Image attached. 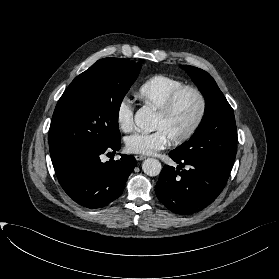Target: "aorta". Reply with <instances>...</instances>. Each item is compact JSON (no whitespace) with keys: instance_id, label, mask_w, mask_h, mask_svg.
Returning a JSON list of instances; mask_svg holds the SVG:
<instances>
[{"instance_id":"762f6f07","label":"aorta","mask_w":279,"mask_h":279,"mask_svg":"<svg viewBox=\"0 0 279 279\" xmlns=\"http://www.w3.org/2000/svg\"><path fill=\"white\" fill-rule=\"evenodd\" d=\"M136 126L143 132H152L155 128V115L153 111L143 106L137 110L134 116ZM142 170L148 176H157L162 170L161 163L155 158H148L143 161Z\"/></svg>"}]
</instances>
